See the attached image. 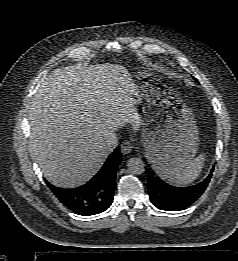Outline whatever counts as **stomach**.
Instances as JSON below:
<instances>
[{
    "label": "stomach",
    "mask_w": 238,
    "mask_h": 261,
    "mask_svg": "<svg viewBox=\"0 0 238 261\" xmlns=\"http://www.w3.org/2000/svg\"><path fill=\"white\" fill-rule=\"evenodd\" d=\"M131 83L132 108L142 119L146 157L161 178H171L190 164L198 149L193 111L159 80L140 76L136 81L131 77Z\"/></svg>",
    "instance_id": "1"
}]
</instances>
